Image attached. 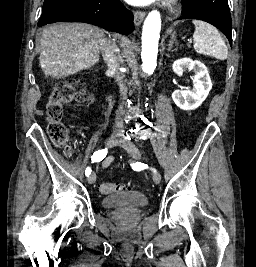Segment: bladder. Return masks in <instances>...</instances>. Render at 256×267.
I'll use <instances>...</instances> for the list:
<instances>
[{"mask_svg": "<svg viewBox=\"0 0 256 267\" xmlns=\"http://www.w3.org/2000/svg\"><path fill=\"white\" fill-rule=\"evenodd\" d=\"M100 202L104 207L149 205L147 195H106Z\"/></svg>", "mask_w": 256, "mask_h": 267, "instance_id": "obj_1", "label": "bladder"}]
</instances>
